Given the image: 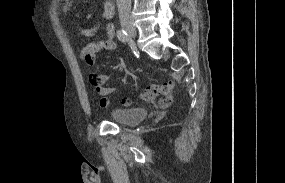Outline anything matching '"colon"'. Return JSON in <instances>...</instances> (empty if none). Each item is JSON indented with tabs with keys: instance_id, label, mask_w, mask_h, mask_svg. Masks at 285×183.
Instances as JSON below:
<instances>
[{
	"instance_id": "5ec220e1",
	"label": "colon",
	"mask_w": 285,
	"mask_h": 183,
	"mask_svg": "<svg viewBox=\"0 0 285 183\" xmlns=\"http://www.w3.org/2000/svg\"><path fill=\"white\" fill-rule=\"evenodd\" d=\"M133 103L131 98H128L127 100H125V104L126 105H131Z\"/></svg>"
}]
</instances>
